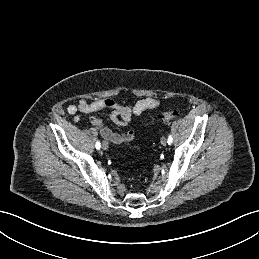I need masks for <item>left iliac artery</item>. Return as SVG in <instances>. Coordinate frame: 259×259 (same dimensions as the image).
Instances as JSON below:
<instances>
[{"label": "left iliac artery", "instance_id": "left-iliac-artery-1", "mask_svg": "<svg viewBox=\"0 0 259 259\" xmlns=\"http://www.w3.org/2000/svg\"><path fill=\"white\" fill-rule=\"evenodd\" d=\"M172 142H173V138L171 135H169L167 143L170 145Z\"/></svg>", "mask_w": 259, "mask_h": 259}]
</instances>
